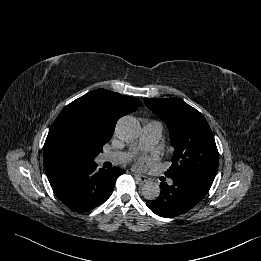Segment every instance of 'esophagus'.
I'll return each mask as SVG.
<instances>
[{"mask_svg":"<svg viewBox=\"0 0 261 261\" xmlns=\"http://www.w3.org/2000/svg\"><path fill=\"white\" fill-rule=\"evenodd\" d=\"M134 176L141 183H146V182H148L150 180L149 177L141 175V174H134Z\"/></svg>","mask_w":261,"mask_h":261,"instance_id":"1","label":"esophagus"}]
</instances>
